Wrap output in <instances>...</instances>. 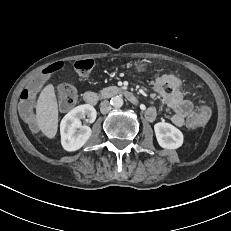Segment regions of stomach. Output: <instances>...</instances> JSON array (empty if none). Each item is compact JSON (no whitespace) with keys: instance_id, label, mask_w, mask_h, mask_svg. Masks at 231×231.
Segmentation results:
<instances>
[{"instance_id":"stomach-1","label":"stomach","mask_w":231,"mask_h":231,"mask_svg":"<svg viewBox=\"0 0 231 231\" xmlns=\"http://www.w3.org/2000/svg\"><path fill=\"white\" fill-rule=\"evenodd\" d=\"M135 68L138 71H145L146 70V64H144V63H137V64H135Z\"/></svg>"}]
</instances>
